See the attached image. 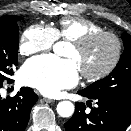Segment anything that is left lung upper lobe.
<instances>
[{
	"label": "left lung upper lobe",
	"instance_id": "5c2ea615",
	"mask_svg": "<svg viewBox=\"0 0 131 131\" xmlns=\"http://www.w3.org/2000/svg\"><path fill=\"white\" fill-rule=\"evenodd\" d=\"M122 40L124 52L115 69L82 91L90 97L115 100L131 108V36L123 33Z\"/></svg>",
	"mask_w": 131,
	"mask_h": 131
}]
</instances>
